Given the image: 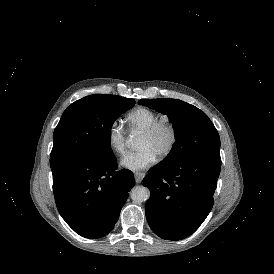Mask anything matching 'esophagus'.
<instances>
[{"instance_id":"34e87169","label":"esophagus","mask_w":274,"mask_h":274,"mask_svg":"<svg viewBox=\"0 0 274 274\" xmlns=\"http://www.w3.org/2000/svg\"><path fill=\"white\" fill-rule=\"evenodd\" d=\"M145 177V173H141V172H137L135 173V181L136 183H141V181L143 180V178Z\"/></svg>"}]
</instances>
